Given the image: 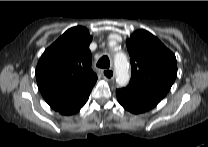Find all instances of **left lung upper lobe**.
<instances>
[{
  "instance_id": "5c2ea615",
  "label": "left lung upper lobe",
  "mask_w": 208,
  "mask_h": 147,
  "mask_svg": "<svg viewBox=\"0 0 208 147\" xmlns=\"http://www.w3.org/2000/svg\"><path fill=\"white\" fill-rule=\"evenodd\" d=\"M126 46L131 57L128 86L164 98L177 76L175 55L145 30L135 31Z\"/></svg>"
}]
</instances>
